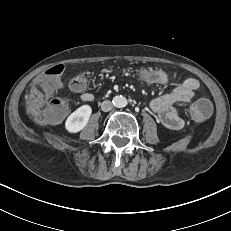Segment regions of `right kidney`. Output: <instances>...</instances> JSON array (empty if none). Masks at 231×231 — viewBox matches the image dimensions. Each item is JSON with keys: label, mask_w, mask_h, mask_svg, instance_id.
Segmentation results:
<instances>
[{"label": "right kidney", "mask_w": 231, "mask_h": 231, "mask_svg": "<svg viewBox=\"0 0 231 231\" xmlns=\"http://www.w3.org/2000/svg\"><path fill=\"white\" fill-rule=\"evenodd\" d=\"M92 113L89 105H82L75 110L66 120L65 128L69 133H77L81 131L88 123Z\"/></svg>", "instance_id": "ca27d5eb"}]
</instances>
